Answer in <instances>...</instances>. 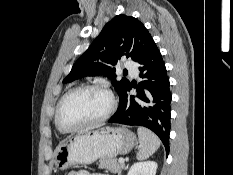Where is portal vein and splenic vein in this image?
I'll use <instances>...</instances> for the list:
<instances>
[{"label": "portal vein and splenic vein", "mask_w": 233, "mask_h": 175, "mask_svg": "<svg viewBox=\"0 0 233 175\" xmlns=\"http://www.w3.org/2000/svg\"><path fill=\"white\" fill-rule=\"evenodd\" d=\"M118 162L124 164L125 160L123 158H119Z\"/></svg>", "instance_id": "obj_1"}]
</instances>
